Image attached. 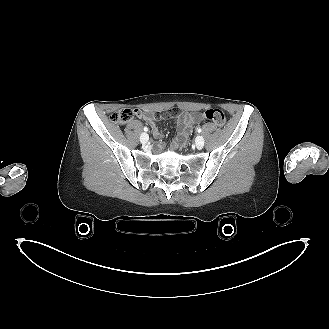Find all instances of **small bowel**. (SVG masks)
<instances>
[{
  "label": "small bowel",
  "mask_w": 329,
  "mask_h": 329,
  "mask_svg": "<svg viewBox=\"0 0 329 329\" xmlns=\"http://www.w3.org/2000/svg\"><path fill=\"white\" fill-rule=\"evenodd\" d=\"M168 113L174 115L173 117L178 131V135L175 141L173 142V146L175 148H182L185 146L187 138L192 132L194 125L200 121V117L196 113L182 114L180 113L177 107H173L167 112H141L139 113V117L151 125L153 136L156 139H159L161 138L162 134L155 121L158 118H165Z\"/></svg>",
  "instance_id": "c3829d8e"
}]
</instances>
